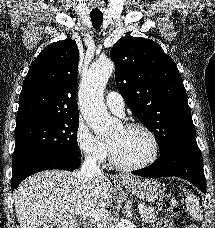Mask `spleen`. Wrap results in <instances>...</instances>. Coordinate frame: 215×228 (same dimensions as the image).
<instances>
[{
  "instance_id": "1",
  "label": "spleen",
  "mask_w": 215,
  "mask_h": 228,
  "mask_svg": "<svg viewBox=\"0 0 215 228\" xmlns=\"http://www.w3.org/2000/svg\"><path fill=\"white\" fill-rule=\"evenodd\" d=\"M184 192L187 194L186 204L190 208L192 218H195V220H200V218H202V210L200 208L198 200H196L195 196H193V194H190L188 190H184Z\"/></svg>"
}]
</instances>
